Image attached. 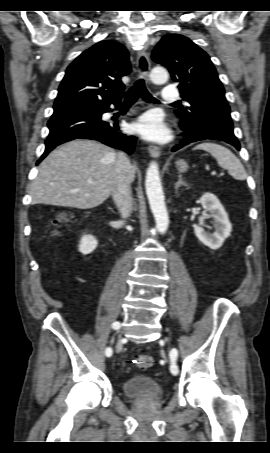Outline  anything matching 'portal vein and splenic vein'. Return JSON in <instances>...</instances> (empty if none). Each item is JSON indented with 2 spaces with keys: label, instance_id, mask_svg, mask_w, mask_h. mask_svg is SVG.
I'll use <instances>...</instances> for the list:
<instances>
[{
  "label": "portal vein and splenic vein",
  "instance_id": "1",
  "mask_svg": "<svg viewBox=\"0 0 270 453\" xmlns=\"http://www.w3.org/2000/svg\"><path fill=\"white\" fill-rule=\"evenodd\" d=\"M215 174H216V172L213 171V172H212V175H215ZM88 183H92V180H88Z\"/></svg>",
  "mask_w": 270,
  "mask_h": 453
}]
</instances>
